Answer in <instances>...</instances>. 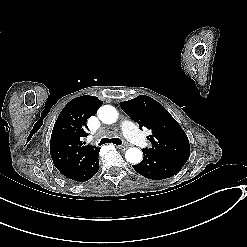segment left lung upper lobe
Masks as SVG:
<instances>
[{"label":"left lung upper lobe","instance_id":"left-lung-upper-lobe-1","mask_svg":"<svg viewBox=\"0 0 247 247\" xmlns=\"http://www.w3.org/2000/svg\"><path fill=\"white\" fill-rule=\"evenodd\" d=\"M122 110L140 127H146L152 134L148 140L151 148H145L161 154L178 163L185 164L189 158L190 145L187 135L171 116V114L156 100L149 96L140 95L136 98L121 102Z\"/></svg>","mask_w":247,"mask_h":247}]
</instances>
